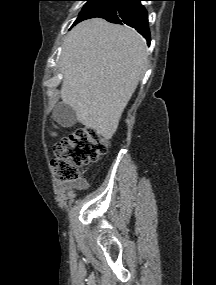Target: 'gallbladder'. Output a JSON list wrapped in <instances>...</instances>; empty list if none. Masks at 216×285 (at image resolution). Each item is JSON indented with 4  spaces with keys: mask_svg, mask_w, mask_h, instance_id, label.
<instances>
[{
    "mask_svg": "<svg viewBox=\"0 0 216 285\" xmlns=\"http://www.w3.org/2000/svg\"><path fill=\"white\" fill-rule=\"evenodd\" d=\"M53 118L63 127H71L77 121L74 109L66 103L57 104L53 111Z\"/></svg>",
    "mask_w": 216,
    "mask_h": 285,
    "instance_id": "obj_1",
    "label": "gallbladder"
}]
</instances>
